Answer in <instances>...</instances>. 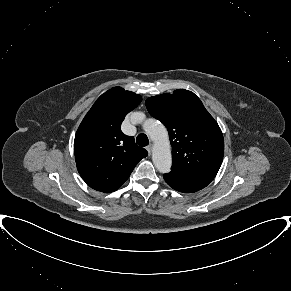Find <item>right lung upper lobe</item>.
<instances>
[{"label":"right lung upper lobe","mask_w":291,"mask_h":291,"mask_svg":"<svg viewBox=\"0 0 291 291\" xmlns=\"http://www.w3.org/2000/svg\"><path fill=\"white\" fill-rule=\"evenodd\" d=\"M140 95L114 87L102 94L81 122L74 140L77 169L93 189L111 193L128 179L148 152L121 132L127 113L136 108Z\"/></svg>","instance_id":"obj_1"}]
</instances>
